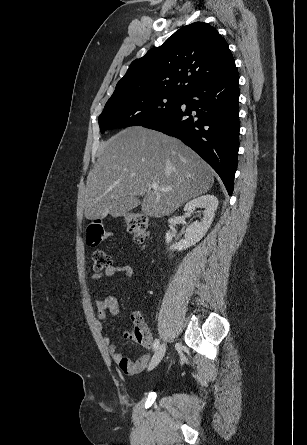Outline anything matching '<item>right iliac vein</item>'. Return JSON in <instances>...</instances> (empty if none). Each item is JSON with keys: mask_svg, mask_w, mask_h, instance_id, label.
Wrapping results in <instances>:
<instances>
[{"mask_svg": "<svg viewBox=\"0 0 307 445\" xmlns=\"http://www.w3.org/2000/svg\"><path fill=\"white\" fill-rule=\"evenodd\" d=\"M165 352H166V344L163 343L157 348L156 352L154 353L148 366L149 371L154 369L161 362L162 358L165 355Z\"/></svg>", "mask_w": 307, "mask_h": 445, "instance_id": "63e3f726", "label": "right iliac vein"}]
</instances>
